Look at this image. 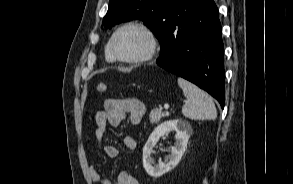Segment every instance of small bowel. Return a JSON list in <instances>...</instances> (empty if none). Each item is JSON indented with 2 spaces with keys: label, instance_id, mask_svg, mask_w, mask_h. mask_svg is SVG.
I'll return each instance as SVG.
<instances>
[{
  "label": "small bowel",
  "instance_id": "small-bowel-1",
  "mask_svg": "<svg viewBox=\"0 0 293 184\" xmlns=\"http://www.w3.org/2000/svg\"><path fill=\"white\" fill-rule=\"evenodd\" d=\"M145 112L144 104L136 99L110 98L104 102V109L98 111L95 115L94 139L102 146L108 157L114 158L118 155V149L105 141L108 128L118 127L126 118L132 125H138ZM123 144L130 150H134L137 145L135 139L131 136H125ZM89 175L96 184H140L139 180L127 169L121 170L114 182L105 178L94 165L89 167Z\"/></svg>",
  "mask_w": 293,
  "mask_h": 184
}]
</instances>
